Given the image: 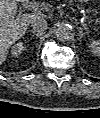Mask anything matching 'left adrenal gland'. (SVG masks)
Listing matches in <instances>:
<instances>
[{"instance_id":"1","label":"left adrenal gland","mask_w":100,"mask_h":118,"mask_svg":"<svg viewBox=\"0 0 100 118\" xmlns=\"http://www.w3.org/2000/svg\"><path fill=\"white\" fill-rule=\"evenodd\" d=\"M79 33H78V36H79V40L82 39V37H84L85 35H87V32H84L83 33V28L79 27Z\"/></svg>"}]
</instances>
